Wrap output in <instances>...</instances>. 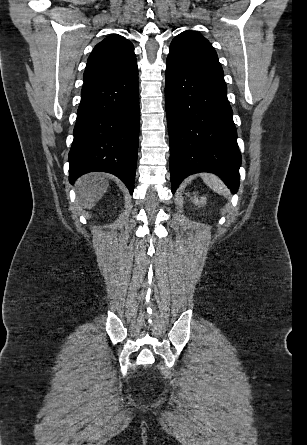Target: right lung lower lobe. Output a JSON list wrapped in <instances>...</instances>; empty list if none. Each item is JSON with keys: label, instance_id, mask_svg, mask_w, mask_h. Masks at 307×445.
<instances>
[{"label": "right lung lower lobe", "instance_id": "98d812e1", "mask_svg": "<svg viewBox=\"0 0 307 445\" xmlns=\"http://www.w3.org/2000/svg\"><path fill=\"white\" fill-rule=\"evenodd\" d=\"M139 120L137 64L117 76L84 83L68 158L70 183L87 172H109L132 194Z\"/></svg>", "mask_w": 307, "mask_h": 445}]
</instances>
